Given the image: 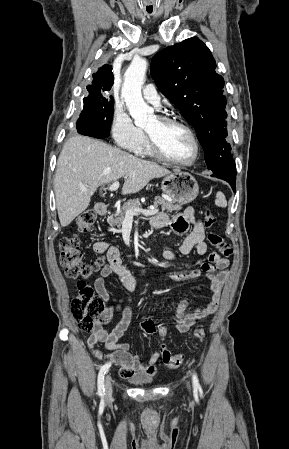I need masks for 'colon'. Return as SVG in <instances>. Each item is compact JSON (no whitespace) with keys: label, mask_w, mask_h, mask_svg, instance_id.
<instances>
[{"label":"colon","mask_w":289,"mask_h":449,"mask_svg":"<svg viewBox=\"0 0 289 449\" xmlns=\"http://www.w3.org/2000/svg\"><path fill=\"white\" fill-rule=\"evenodd\" d=\"M95 219V212L86 210L75 219L73 227L77 233H86L92 227ZM215 223L216 216L210 210H206L204 214V225L207 228H211ZM208 240L219 250L222 256L228 257L232 254L233 250L231 246L219 234L214 232L210 233ZM59 247L61 252L60 262L66 275L69 278L78 280V294L72 300L73 316L79 328L89 333L95 329L97 323L102 318L105 306L103 299L94 292L91 286L86 284V280L104 267L105 258L98 257L92 262H84L76 235L63 237ZM141 329L149 335L158 333L162 340L168 334L165 326L160 325L156 327L150 319H146L141 323ZM194 336L198 340H202L205 337L204 329H195ZM159 352L162 362L169 368H176L182 363L183 355L172 354L165 344L161 345Z\"/></svg>","instance_id":"colon-1"}]
</instances>
